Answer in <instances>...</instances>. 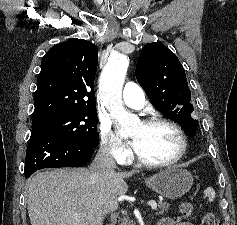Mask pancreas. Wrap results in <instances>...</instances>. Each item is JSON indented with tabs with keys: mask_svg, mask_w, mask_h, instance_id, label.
I'll return each instance as SVG.
<instances>
[{
	"mask_svg": "<svg viewBox=\"0 0 237 225\" xmlns=\"http://www.w3.org/2000/svg\"><path fill=\"white\" fill-rule=\"evenodd\" d=\"M169 208H170V204H168L167 202L165 201H161L159 202L158 204V212L157 214H164V213H168L169 212ZM120 225H133L131 221L127 220V219H123L121 222H120Z\"/></svg>",
	"mask_w": 237,
	"mask_h": 225,
	"instance_id": "1",
	"label": "pancreas"
}]
</instances>
